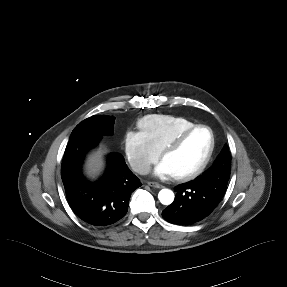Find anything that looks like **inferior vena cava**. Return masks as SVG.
<instances>
[{"label":"inferior vena cava","instance_id":"inferior-vena-cava-1","mask_svg":"<svg viewBox=\"0 0 287 287\" xmlns=\"http://www.w3.org/2000/svg\"><path fill=\"white\" fill-rule=\"evenodd\" d=\"M133 170L141 175L148 174L151 171V166L146 163H140L133 167Z\"/></svg>","mask_w":287,"mask_h":287}]
</instances>
